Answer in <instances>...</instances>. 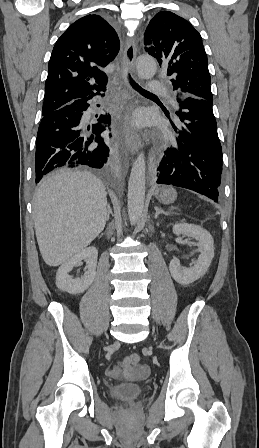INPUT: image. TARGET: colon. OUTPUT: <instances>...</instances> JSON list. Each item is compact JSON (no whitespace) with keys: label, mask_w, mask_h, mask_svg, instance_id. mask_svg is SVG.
<instances>
[{"label":"colon","mask_w":259,"mask_h":448,"mask_svg":"<svg viewBox=\"0 0 259 448\" xmlns=\"http://www.w3.org/2000/svg\"><path fill=\"white\" fill-rule=\"evenodd\" d=\"M128 360H129L131 365H137L140 362V357H139L138 354H131L128 357Z\"/></svg>","instance_id":"5ec220e1"}]
</instances>
